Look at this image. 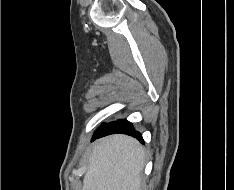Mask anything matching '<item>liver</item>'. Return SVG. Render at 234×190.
Returning a JSON list of instances; mask_svg holds the SVG:
<instances>
[{"label":"liver","instance_id":"6515ba94","mask_svg":"<svg viewBox=\"0 0 234 190\" xmlns=\"http://www.w3.org/2000/svg\"><path fill=\"white\" fill-rule=\"evenodd\" d=\"M145 153L134 138L116 134L95 143L82 190H139Z\"/></svg>","mask_w":234,"mask_h":190}]
</instances>
